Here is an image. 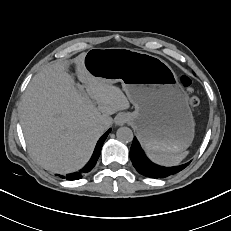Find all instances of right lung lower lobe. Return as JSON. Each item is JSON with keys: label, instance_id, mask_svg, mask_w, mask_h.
Segmentation results:
<instances>
[{"label": "right lung lower lobe", "instance_id": "obj_1", "mask_svg": "<svg viewBox=\"0 0 231 231\" xmlns=\"http://www.w3.org/2000/svg\"><path fill=\"white\" fill-rule=\"evenodd\" d=\"M110 131H111V129H109L99 139L92 158L90 159L88 164L83 169H81L80 171L71 173V174H67L65 177H62V178H65L67 180H78V179L82 178L86 173L90 172L94 168V166L96 165V162H97V160L100 156V153H101V148H102L103 142L105 141V139H106L107 135L110 133Z\"/></svg>", "mask_w": 231, "mask_h": 231}]
</instances>
